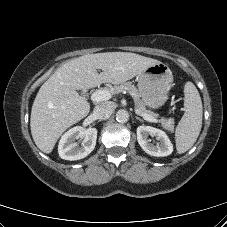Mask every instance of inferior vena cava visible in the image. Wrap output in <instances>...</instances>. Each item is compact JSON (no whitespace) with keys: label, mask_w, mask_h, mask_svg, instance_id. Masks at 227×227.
I'll list each match as a JSON object with an SVG mask.
<instances>
[{"label":"inferior vena cava","mask_w":227,"mask_h":227,"mask_svg":"<svg viewBox=\"0 0 227 227\" xmlns=\"http://www.w3.org/2000/svg\"><path fill=\"white\" fill-rule=\"evenodd\" d=\"M113 111L114 105L111 102L100 103L94 108V114L99 119H108Z\"/></svg>","instance_id":"1"}]
</instances>
